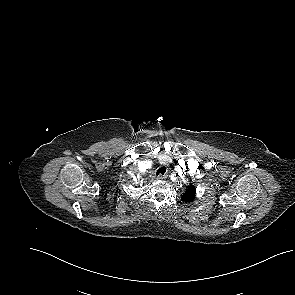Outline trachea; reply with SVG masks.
Here are the masks:
<instances>
[{
	"label": "trachea",
	"instance_id": "obj_1",
	"mask_svg": "<svg viewBox=\"0 0 295 295\" xmlns=\"http://www.w3.org/2000/svg\"><path fill=\"white\" fill-rule=\"evenodd\" d=\"M166 172V168L165 167H161L157 170L156 172V175H159V174H164Z\"/></svg>",
	"mask_w": 295,
	"mask_h": 295
}]
</instances>
